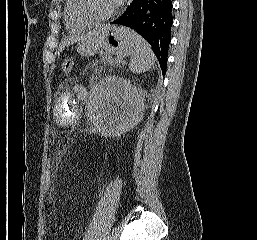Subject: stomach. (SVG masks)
Segmentation results:
<instances>
[{
    "instance_id": "stomach-1",
    "label": "stomach",
    "mask_w": 257,
    "mask_h": 240,
    "mask_svg": "<svg viewBox=\"0 0 257 240\" xmlns=\"http://www.w3.org/2000/svg\"><path fill=\"white\" fill-rule=\"evenodd\" d=\"M100 48L105 49L109 53H114L119 57L128 56L130 49L125 29L107 24L98 36L80 42L77 52L82 57H91Z\"/></svg>"
}]
</instances>
